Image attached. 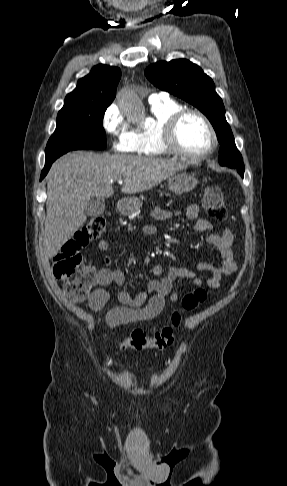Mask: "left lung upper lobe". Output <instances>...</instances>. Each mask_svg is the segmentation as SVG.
I'll return each mask as SVG.
<instances>
[{"mask_svg":"<svg viewBox=\"0 0 287 486\" xmlns=\"http://www.w3.org/2000/svg\"><path fill=\"white\" fill-rule=\"evenodd\" d=\"M150 82L191 103L210 120L221 144L219 164L237 168L244 173L243 159L231 128L225 118L222 99L215 91L213 80L196 64L186 59L156 62L145 70Z\"/></svg>","mask_w":287,"mask_h":486,"instance_id":"obj_1","label":"left lung upper lobe"}]
</instances>
